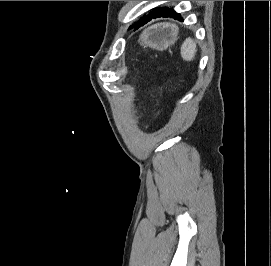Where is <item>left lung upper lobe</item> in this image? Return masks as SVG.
Here are the masks:
<instances>
[{"label":"left lung upper lobe","instance_id":"obj_1","mask_svg":"<svg viewBox=\"0 0 271 266\" xmlns=\"http://www.w3.org/2000/svg\"><path fill=\"white\" fill-rule=\"evenodd\" d=\"M171 9L172 8H168V7H159V8H155L154 10L150 11V13L156 12V11H170Z\"/></svg>","mask_w":271,"mask_h":266}]
</instances>
